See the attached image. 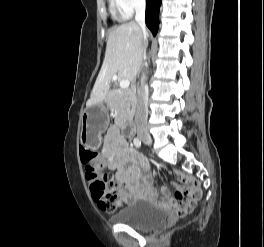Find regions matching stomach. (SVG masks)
<instances>
[{"label": "stomach", "instance_id": "stomach-1", "mask_svg": "<svg viewBox=\"0 0 264 247\" xmlns=\"http://www.w3.org/2000/svg\"><path fill=\"white\" fill-rule=\"evenodd\" d=\"M108 124L107 108L98 104L85 112L82 117L80 141L90 147H98L101 143V131Z\"/></svg>", "mask_w": 264, "mask_h": 247}]
</instances>
